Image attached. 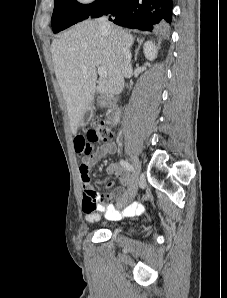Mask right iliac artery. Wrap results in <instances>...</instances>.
I'll list each match as a JSON object with an SVG mask.
<instances>
[{
  "instance_id": "1",
  "label": "right iliac artery",
  "mask_w": 227,
  "mask_h": 298,
  "mask_svg": "<svg viewBox=\"0 0 227 298\" xmlns=\"http://www.w3.org/2000/svg\"><path fill=\"white\" fill-rule=\"evenodd\" d=\"M120 165H121L124 169H126V170H128V171H130V172H134V167H133L130 163H128L127 161H125V160H120Z\"/></svg>"
}]
</instances>
